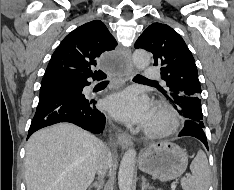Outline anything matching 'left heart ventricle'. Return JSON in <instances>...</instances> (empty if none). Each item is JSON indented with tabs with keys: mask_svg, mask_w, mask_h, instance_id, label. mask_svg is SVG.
<instances>
[{
	"mask_svg": "<svg viewBox=\"0 0 234 190\" xmlns=\"http://www.w3.org/2000/svg\"><path fill=\"white\" fill-rule=\"evenodd\" d=\"M161 123V119H159L156 115L153 114L148 126H159Z\"/></svg>",
	"mask_w": 234,
	"mask_h": 190,
	"instance_id": "left-heart-ventricle-1",
	"label": "left heart ventricle"
}]
</instances>
